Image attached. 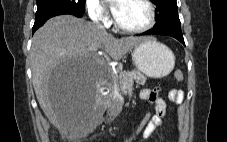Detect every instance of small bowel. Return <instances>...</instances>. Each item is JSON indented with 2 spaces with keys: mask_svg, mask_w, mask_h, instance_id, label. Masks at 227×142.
<instances>
[{
  "mask_svg": "<svg viewBox=\"0 0 227 142\" xmlns=\"http://www.w3.org/2000/svg\"><path fill=\"white\" fill-rule=\"evenodd\" d=\"M160 90L158 88L150 89L144 88L141 90V98L155 105V118L146 128V130L141 135L142 140L149 139L153 136L154 132L161 126L162 119L166 113V103L160 97ZM169 100L171 102L180 104L184 99V93L178 89H172L168 94Z\"/></svg>",
  "mask_w": 227,
  "mask_h": 142,
  "instance_id": "1",
  "label": "small bowel"
}]
</instances>
